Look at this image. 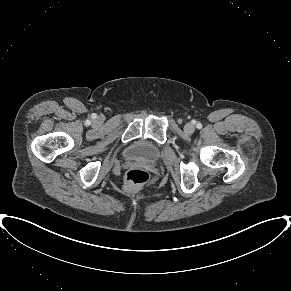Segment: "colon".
I'll return each mask as SVG.
<instances>
[{"label":"colon","mask_w":291,"mask_h":291,"mask_svg":"<svg viewBox=\"0 0 291 291\" xmlns=\"http://www.w3.org/2000/svg\"><path fill=\"white\" fill-rule=\"evenodd\" d=\"M126 188L136 193L148 182L149 174L142 168H130L125 174Z\"/></svg>","instance_id":"obj_1"}]
</instances>
